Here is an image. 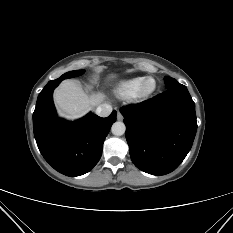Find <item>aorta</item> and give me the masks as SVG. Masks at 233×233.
I'll return each mask as SVG.
<instances>
[{
	"instance_id": "aorta-1",
	"label": "aorta",
	"mask_w": 233,
	"mask_h": 233,
	"mask_svg": "<svg viewBox=\"0 0 233 233\" xmlns=\"http://www.w3.org/2000/svg\"><path fill=\"white\" fill-rule=\"evenodd\" d=\"M125 130H126L125 124L120 121L115 122L111 128L112 134L115 136L123 135L125 133Z\"/></svg>"
}]
</instances>
